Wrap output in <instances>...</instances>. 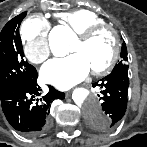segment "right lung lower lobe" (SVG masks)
Wrapping results in <instances>:
<instances>
[{"label":"right lung lower lobe","instance_id":"1","mask_svg":"<svg viewBox=\"0 0 147 147\" xmlns=\"http://www.w3.org/2000/svg\"><path fill=\"white\" fill-rule=\"evenodd\" d=\"M36 74L25 83L17 84L0 90V100L3 112L9 124L26 136H38L44 133L50 125L49 107L56 99H64L65 94L49 86V92L41 95Z\"/></svg>","mask_w":147,"mask_h":147}]
</instances>
